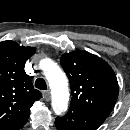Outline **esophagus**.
I'll return each mask as SVG.
<instances>
[{"label":"esophagus","mask_w":130,"mask_h":130,"mask_svg":"<svg viewBox=\"0 0 130 130\" xmlns=\"http://www.w3.org/2000/svg\"><path fill=\"white\" fill-rule=\"evenodd\" d=\"M43 97L46 101H50V98H51V95H50V91L47 90V91H44L43 92Z\"/></svg>","instance_id":"obj_1"}]
</instances>
